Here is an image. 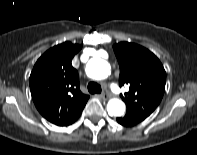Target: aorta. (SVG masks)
<instances>
[{
  "instance_id": "obj_1",
  "label": "aorta",
  "mask_w": 197,
  "mask_h": 155,
  "mask_svg": "<svg viewBox=\"0 0 197 155\" xmlns=\"http://www.w3.org/2000/svg\"><path fill=\"white\" fill-rule=\"evenodd\" d=\"M110 64L101 58H92L86 65V74L95 80H102L110 75ZM107 111L110 116H122L125 112V104L117 98L108 101Z\"/></svg>"
}]
</instances>
